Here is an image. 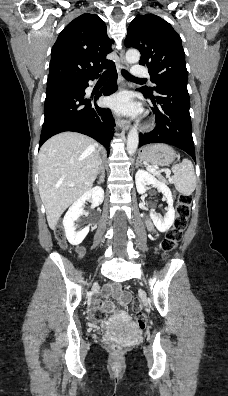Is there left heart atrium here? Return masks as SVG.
<instances>
[{"label": "left heart atrium", "instance_id": "39dd6f15", "mask_svg": "<svg viewBox=\"0 0 228 396\" xmlns=\"http://www.w3.org/2000/svg\"><path fill=\"white\" fill-rule=\"evenodd\" d=\"M109 105L117 112L127 114H137L139 107L131 101L127 93H119L112 96Z\"/></svg>", "mask_w": 228, "mask_h": 396}]
</instances>
